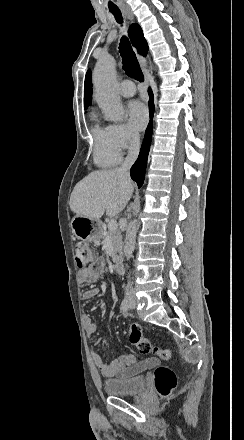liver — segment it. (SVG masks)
Returning <instances> with one entry per match:
<instances>
[{
	"mask_svg": "<svg viewBox=\"0 0 244 440\" xmlns=\"http://www.w3.org/2000/svg\"><path fill=\"white\" fill-rule=\"evenodd\" d=\"M133 184L114 170L91 172L76 184L70 198L69 206L77 216L90 220H100L106 216H118L127 206L132 194Z\"/></svg>",
	"mask_w": 244,
	"mask_h": 440,
	"instance_id": "obj_1",
	"label": "liver"
}]
</instances>
